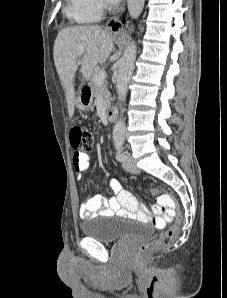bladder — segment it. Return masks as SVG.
<instances>
[{"label": "bladder", "mask_w": 227, "mask_h": 298, "mask_svg": "<svg viewBox=\"0 0 227 298\" xmlns=\"http://www.w3.org/2000/svg\"><path fill=\"white\" fill-rule=\"evenodd\" d=\"M84 236L102 243L132 238H144L152 235L153 228L133 219L116 218L113 220H88L81 225Z\"/></svg>", "instance_id": "bladder-1"}]
</instances>
